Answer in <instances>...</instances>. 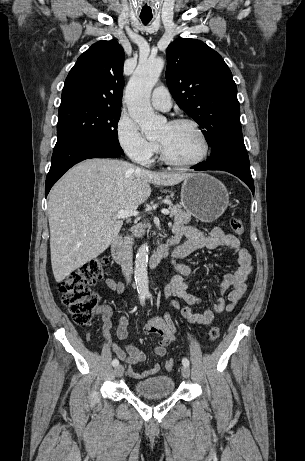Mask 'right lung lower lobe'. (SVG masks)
<instances>
[{
	"instance_id": "1",
	"label": "right lung lower lobe",
	"mask_w": 305,
	"mask_h": 461,
	"mask_svg": "<svg viewBox=\"0 0 305 461\" xmlns=\"http://www.w3.org/2000/svg\"><path fill=\"white\" fill-rule=\"evenodd\" d=\"M123 153L94 141H78L54 147L51 167L46 178L45 195L54 183L73 165L90 158H115Z\"/></svg>"
}]
</instances>
